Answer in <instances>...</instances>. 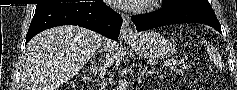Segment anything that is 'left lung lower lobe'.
Returning a JSON list of instances; mask_svg holds the SVG:
<instances>
[{"instance_id": "obj_1", "label": "left lung lower lobe", "mask_w": 237, "mask_h": 90, "mask_svg": "<svg viewBox=\"0 0 237 90\" xmlns=\"http://www.w3.org/2000/svg\"><path fill=\"white\" fill-rule=\"evenodd\" d=\"M131 20L136 25L137 31H144L175 23H200L209 25L222 33L220 23L215 13L200 10L164 8L147 14L132 16Z\"/></svg>"}]
</instances>
